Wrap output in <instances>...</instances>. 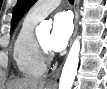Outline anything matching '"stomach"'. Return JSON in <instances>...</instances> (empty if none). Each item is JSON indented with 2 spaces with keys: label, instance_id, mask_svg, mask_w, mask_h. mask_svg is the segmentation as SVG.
Returning a JSON list of instances; mask_svg holds the SVG:
<instances>
[{
  "label": "stomach",
  "instance_id": "obj_1",
  "mask_svg": "<svg viewBox=\"0 0 107 89\" xmlns=\"http://www.w3.org/2000/svg\"><path fill=\"white\" fill-rule=\"evenodd\" d=\"M44 89H54L52 86H46Z\"/></svg>",
  "mask_w": 107,
  "mask_h": 89
}]
</instances>
